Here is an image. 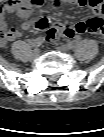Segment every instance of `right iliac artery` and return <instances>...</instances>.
Masks as SVG:
<instances>
[{
	"instance_id": "1",
	"label": "right iliac artery",
	"mask_w": 104,
	"mask_h": 137,
	"mask_svg": "<svg viewBox=\"0 0 104 137\" xmlns=\"http://www.w3.org/2000/svg\"><path fill=\"white\" fill-rule=\"evenodd\" d=\"M44 42V38L38 37L35 40H33L32 45L35 47H39Z\"/></svg>"
}]
</instances>
